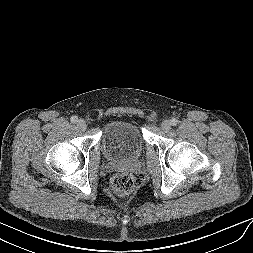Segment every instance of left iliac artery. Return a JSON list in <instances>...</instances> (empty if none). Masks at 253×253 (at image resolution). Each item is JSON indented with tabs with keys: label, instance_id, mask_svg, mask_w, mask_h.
I'll return each mask as SVG.
<instances>
[{
	"label": "left iliac artery",
	"instance_id": "44dca946",
	"mask_svg": "<svg viewBox=\"0 0 253 253\" xmlns=\"http://www.w3.org/2000/svg\"><path fill=\"white\" fill-rule=\"evenodd\" d=\"M171 125L176 126L178 124V120L176 118H172L170 120Z\"/></svg>",
	"mask_w": 253,
	"mask_h": 253
}]
</instances>
